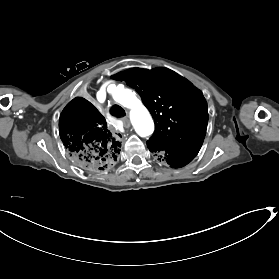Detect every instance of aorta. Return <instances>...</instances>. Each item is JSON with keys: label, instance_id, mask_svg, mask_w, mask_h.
Wrapping results in <instances>:
<instances>
[{"label": "aorta", "instance_id": "obj_1", "mask_svg": "<svg viewBox=\"0 0 279 279\" xmlns=\"http://www.w3.org/2000/svg\"><path fill=\"white\" fill-rule=\"evenodd\" d=\"M113 98L124 107L131 109V123L139 136L146 137L153 133V119L147 108L136 97L134 92L130 89L117 87L113 92Z\"/></svg>", "mask_w": 279, "mask_h": 279}]
</instances>
